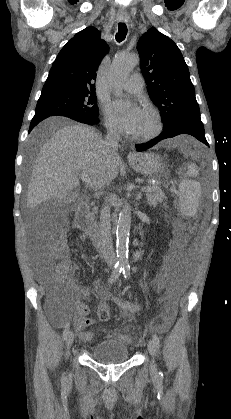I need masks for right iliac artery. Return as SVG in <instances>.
<instances>
[{
  "label": "right iliac artery",
  "instance_id": "1",
  "mask_svg": "<svg viewBox=\"0 0 231 419\" xmlns=\"http://www.w3.org/2000/svg\"><path fill=\"white\" fill-rule=\"evenodd\" d=\"M123 270V267H122V265H120V264H116L115 265V269H114V271H113V273H112V275L110 276V278L108 279V284H112L113 282H115L116 281V279L119 277V275H120V273H121V271ZM68 328H69V323L68 324H66V326H65V330H64V332H63V339L64 340H66L67 339V336H68V334H69V330H68Z\"/></svg>",
  "mask_w": 231,
  "mask_h": 419
}]
</instances>
